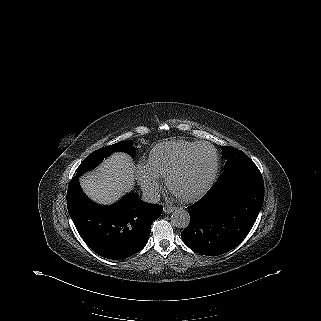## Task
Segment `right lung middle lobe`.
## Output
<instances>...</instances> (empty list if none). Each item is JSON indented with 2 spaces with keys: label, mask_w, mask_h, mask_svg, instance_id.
Segmentation results:
<instances>
[{
  "label": "right lung middle lobe",
  "mask_w": 321,
  "mask_h": 321,
  "mask_svg": "<svg viewBox=\"0 0 321 321\" xmlns=\"http://www.w3.org/2000/svg\"><path fill=\"white\" fill-rule=\"evenodd\" d=\"M115 151H123L131 156H134L136 153L135 147L132 145V141H123L119 142L102 149H98L91 153L89 156L85 158V160L80 164V166L76 169V176H80L84 172L96 167L102 160L108 157L111 153Z\"/></svg>",
  "instance_id": "obj_1"
}]
</instances>
